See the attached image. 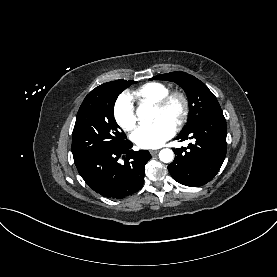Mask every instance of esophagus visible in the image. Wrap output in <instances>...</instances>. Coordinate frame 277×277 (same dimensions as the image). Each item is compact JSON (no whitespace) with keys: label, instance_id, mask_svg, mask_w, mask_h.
Wrapping results in <instances>:
<instances>
[{"label":"esophagus","instance_id":"obj_1","mask_svg":"<svg viewBox=\"0 0 277 277\" xmlns=\"http://www.w3.org/2000/svg\"><path fill=\"white\" fill-rule=\"evenodd\" d=\"M159 151L158 150H150V154L151 155H155V154H157Z\"/></svg>","mask_w":277,"mask_h":277}]
</instances>
